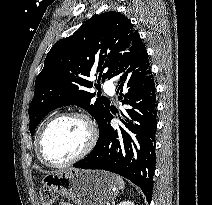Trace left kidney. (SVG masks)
<instances>
[{
	"mask_svg": "<svg viewBox=\"0 0 212 205\" xmlns=\"http://www.w3.org/2000/svg\"><path fill=\"white\" fill-rule=\"evenodd\" d=\"M118 205H134V203L132 202V201H129V200H125V201H123V202H121L120 204H118Z\"/></svg>",
	"mask_w": 212,
	"mask_h": 205,
	"instance_id": "5707ae66",
	"label": "left kidney"
}]
</instances>
